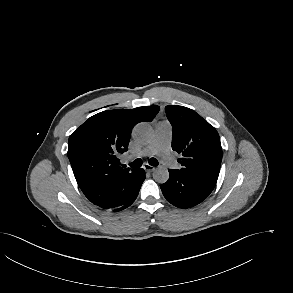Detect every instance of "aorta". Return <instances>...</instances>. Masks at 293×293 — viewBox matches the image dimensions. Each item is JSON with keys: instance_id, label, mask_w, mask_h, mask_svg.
Wrapping results in <instances>:
<instances>
[{"instance_id": "aorta-1", "label": "aorta", "mask_w": 293, "mask_h": 293, "mask_svg": "<svg viewBox=\"0 0 293 293\" xmlns=\"http://www.w3.org/2000/svg\"><path fill=\"white\" fill-rule=\"evenodd\" d=\"M153 136V130L148 123H139L133 129V138L139 143L148 142ZM153 178L158 183H165L169 179V171L165 167H158L153 172Z\"/></svg>"}]
</instances>
